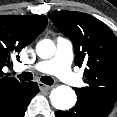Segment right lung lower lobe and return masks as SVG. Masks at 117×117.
<instances>
[{
	"mask_svg": "<svg viewBox=\"0 0 117 117\" xmlns=\"http://www.w3.org/2000/svg\"><path fill=\"white\" fill-rule=\"evenodd\" d=\"M39 92L36 82H28L5 103L0 105V117H24L27 106Z\"/></svg>",
	"mask_w": 117,
	"mask_h": 117,
	"instance_id": "1",
	"label": "right lung lower lobe"
}]
</instances>
